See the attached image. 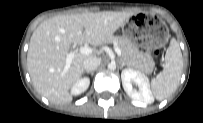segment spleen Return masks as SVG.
Returning <instances> with one entry per match:
<instances>
[{
	"label": "spleen",
	"mask_w": 203,
	"mask_h": 123,
	"mask_svg": "<svg viewBox=\"0 0 203 123\" xmlns=\"http://www.w3.org/2000/svg\"><path fill=\"white\" fill-rule=\"evenodd\" d=\"M183 72V59L179 44L172 39L165 55L163 71L151 81V89L159 101L172 95L180 82Z\"/></svg>",
	"instance_id": "1"
}]
</instances>
